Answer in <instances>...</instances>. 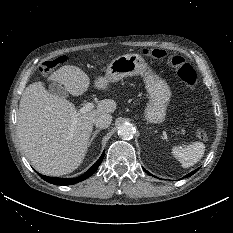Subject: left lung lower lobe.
I'll return each instance as SVG.
<instances>
[{
    "label": "left lung lower lobe",
    "mask_w": 233,
    "mask_h": 233,
    "mask_svg": "<svg viewBox=\"0 0 233 233\" xmlns=\"http://www.w3.org/2000/svg\"><path fill=\"white\" fill-rule=\"evenodd\" d=\"M198 169H199V168H198ZM198 169L192 171L191 173H189L188 175H186V177H189V176L193 175ZM144 171L147 172L149 175H151V174H150L148 171H146L145 169H144Z\"/></svg>",
    "instance_id": "left-lung-lower-lobe-1"
}]
</instances>
